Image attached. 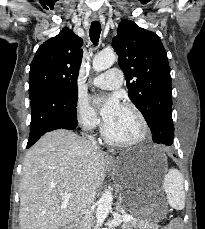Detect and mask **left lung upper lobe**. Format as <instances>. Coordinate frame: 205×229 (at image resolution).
Returning a JSON list of instances; mask_svg holds the SVG:
<instances>
[{"mask_svg":"<svg viewBox=\"0 0 205 229\" xmlns=\"http://www.w3.org/2000/svg\"><path fill=\"white\" fill-rule=\"evenodd\" d=\"M112 46L126 77L129 98L143 114L153 133V141L172 145L170 67L160 38L133 21L123 19Z\"/></svg>","mask_w":205,"mask_h":229,"instance_id":"obj_1","label":"left lung upper lobe"}]
</instances>
